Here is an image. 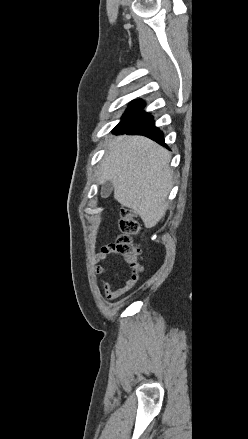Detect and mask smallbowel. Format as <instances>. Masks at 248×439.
I'll use <instances>...</instances> for the list:
<instances>
[{
    "instance_id": "obj_1",
    "label": "small bowel",
    "mask_w": 248,
    "mask_h": 439,
    "mask_svg": "<svg viewBox=\"0 0 248 439\" xmlns=\"http://www.w3.org/2000/svg\"><path fill=\"white\" fill-rule=\"evenodd\" d=\"M118 254L115 245H106L101 248V250L94 256V272L96 275H103L106 272V268L99 264V262L106 260L110 255ZM139 278V273L135 268L131 267V276L125 281V283L114 289L111 283L102 279V286L105 292V296L108 300H115L124 294H126L137 282Z\"/></svg>"
}]
</instances>
